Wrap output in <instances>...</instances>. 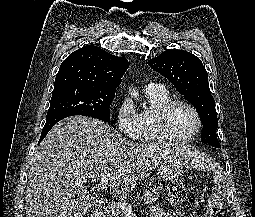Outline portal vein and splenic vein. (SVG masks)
<instances>
[{"label": "portal vein and splenic vein", "instance_id": "18ae733b", "mask_svg": "<svg viewBox=\"0 0 255 217\" xmlns=\"http://www.w3.org/2000/svg\"><path fill=\"white\" fill-rule=\"evenodd\" d=\"M85 183H87V180H85L84 181ZM107 183H108V178H102L101 180H100V182H99V188L101 189V190H103L104 188H105V186L107 185ZM117 207H118V209L123 213V214H125V215H132L133 214V212H132V206L130 205V204H128V203H126V202H122V201H120V202H116V203H114Z\"/></svg>", "mask_w": 255, "mask_h": 217}]
</instances>
